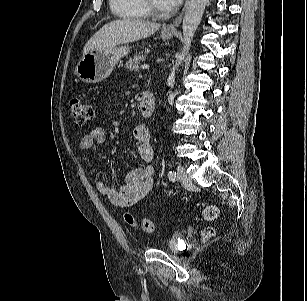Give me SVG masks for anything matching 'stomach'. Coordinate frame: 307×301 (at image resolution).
<instances>
[{"label":"stomach","instance_id":"1","mask_svg":"<svg viewBox=\"0 0 307 301\" xmlns=\"http://www.w3.org/2000/svg\"><path fill=\"white\" fill-rule=\"evenodd\" d=\"M174 31L163 30L162 39L173 37ZM130 52L128 45L116 46L105 50H92L79 60L75 72L77 77L86 83L103 81L110 76L116 64Z\"/></svg>","mask_w":307,"mask_h":301}]
</instances>
